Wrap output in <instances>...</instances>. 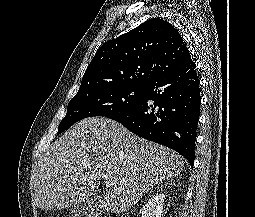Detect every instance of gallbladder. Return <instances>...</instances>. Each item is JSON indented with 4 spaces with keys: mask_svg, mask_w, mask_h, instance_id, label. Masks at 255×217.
<instances>
[{
    "mask_svg": "<svg viewBox=\"0 0 255 217\" xmlns=\"http://www.w3.org/2000/svg\"><path fill=\"white\" fill-rule=\"evenodd\" d=\"M99 197H89L81 203L77 204L71 210L72 217H88L94 216L99 203Z\"/></svg>",
    "mask_w": 255,
    "mask_h": 217,
    "instance_id": "bac80fb5",
    "label": "gallbladder"
}]
</instances>
